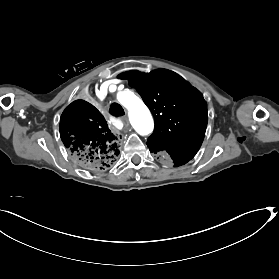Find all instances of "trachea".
<instances>
[{"mask_svg":"<svg viewBox=\"0 0 279 279\" xmlns=\"http://www.w3.org/2000/svg\"><path fill=\"white\" fill-rule=\"evenodd\" d=\"M109 112H110V114H112L114 116L124 115L125 114L124 109L118 103L111 104Z\"/></svg>","mask_w":279,"mask_h":279,"instance_id":"trachea-1","label":"trachea"}]
</instances>
